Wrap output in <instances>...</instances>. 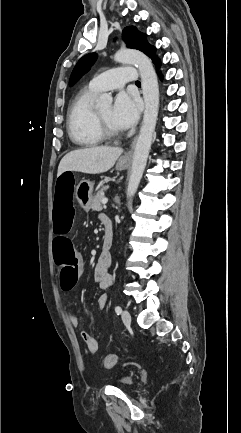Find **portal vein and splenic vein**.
<instances>
[{
    "label": "portal vein and splenic vein",
    "instance_id": "portal-vein-and-splenic-vein-1",
    "mask_svg": "<svg viewBox=\"0 0 241 433\" xmlns=\"http://www.w3.org/2000/svg\"><path fill=\"white\" fill-rule=\"evenodd\" d=\"M107 202H108V199H107V198H103V199H102V204H103L104 206L107 204Z\"/></svg>",
    "mask_w": 241,
    "mask_h": 433
}]
</instances>
